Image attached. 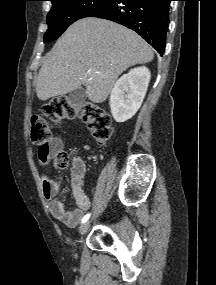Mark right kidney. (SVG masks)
<instances>
[{
    "label": "right kidney",
    "instance_id": "1",
    "mask_svg": "<svg viewBox=\"0 0 216 285\" xmlns=\"http://www.w3.org/2000/svg\"><path fill=\"white\" fill-rule=\"evenodd\" d=\"M150 71L145 66L131 69L118 79L111 91L110 108L116 122L132 118L140 108L150 81Z\"/></svg>",
    "mask_w": 216,
    "mask_h": 285
}]
</instances>
